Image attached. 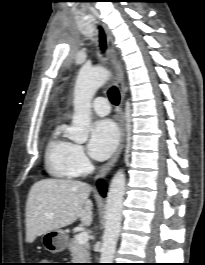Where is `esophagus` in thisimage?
Segmentation results:
<instances>
[{
    "label": "esophagus",
    "mask_w": 205,
    "mask_h": 265,
    "mask_svg": "<svg viewBox=\"0 0 205 265\" xmlns=\"http://www.w3.org/2000/svg\"><path fill=\"white\" fill-rule=\"evenodd\" d=\"M103 27L106 33L109 57L116 74V86L120 93V102L117 108V121L120 129V141L114 155L102 167V169L100 170L99 174L96 177L97 179L106 177V175L111 171V169L114 167L115 163L117 162L118 158L120 157V154L125 144V121H124V110H123L124 99H125L124 68L120 60L117 48L115 46L114 37L111 31L105 24H103Z\"/></svg>",
    "instance_id": "esophagus-1"
}]
</instances>
